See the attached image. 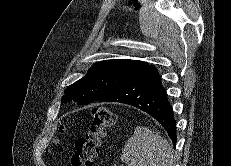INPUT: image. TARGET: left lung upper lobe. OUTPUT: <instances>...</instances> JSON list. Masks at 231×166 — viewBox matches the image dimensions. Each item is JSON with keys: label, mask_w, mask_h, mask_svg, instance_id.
<instances>
[{"label": "left lung upper lobe", "mask_w": 231, "mask_h": 166, "mask_svg": "<svg viewBox=\"0 0 231 166\" xmlns=\"http://www.w3.org/2000/svg\"><path fill=\"white\" fill-rule=\"evenodd\" d=\"M149 64L143 61L116 59L95 63L88 73L65 90L62 101L79 105L96 101L128 81Z\"/></svg>", "instance_id": "5c2ea615"}]
</instances>
